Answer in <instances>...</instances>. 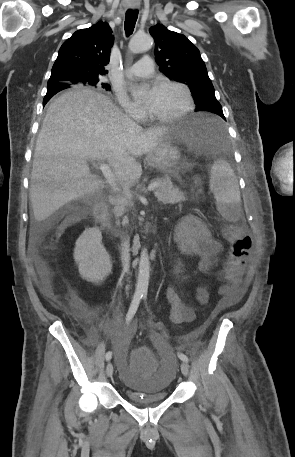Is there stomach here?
<instances>
[{"label": "stomach", "mask_w": 295, "mask_h": 457, "mask_svg": "<svg viewBox=\"0 0 295 457\" xmlns=\"http://www.w3.org/2000/svg\"><path fill=\"white\" fill-rule=\"evenodd\" d=\"M210 137L202 117L192 115L169 127L159 144L148 153L146 161L150 167L176 176L183 169L180 146L196 149L207 143Z\"/></svg>", "instance_id": "0dacf381"}]
</instances>
